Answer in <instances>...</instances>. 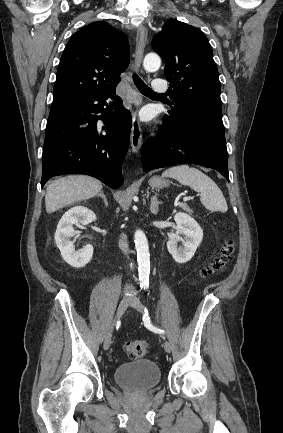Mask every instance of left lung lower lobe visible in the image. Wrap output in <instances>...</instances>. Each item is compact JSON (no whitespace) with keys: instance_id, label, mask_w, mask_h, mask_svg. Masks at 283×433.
<instances>
[{"instance_id":"left-lung-lower-lobe-1","label":"left lung lower lobe","mask_w":283,"mask_h":433,"mask_svg":"<svg viewBox=\"0 0 283 433\" xmlns=\"http://www.w3.org/2000/svg\"><path fill=\"white\" fill-rule=\"evenodd\" d=\"M163 122L160 133L142 147L144 172L192 163L215 169L229 181L224 132L199 121H174L165 116Z\"/></svg>"}]
</instances>
